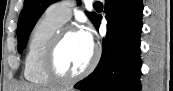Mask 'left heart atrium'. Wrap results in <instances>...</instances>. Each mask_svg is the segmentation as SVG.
Segmentation results:
<instances>
[{"label": "left heart atrium", "mask_w": 173, "mask_h": 91, "mask_svg": "<svg viewBox=\"0 0 173 91\" xmlns=\"http://www.w3.org/2000/svg\"><path fill=\"white\" fill-rule=\"evenodd\" d=\"M80 34L87 44L93 45V35L89 29H83Z\"/></svg>", "instance_id": "obj_1"}]
</instances>
